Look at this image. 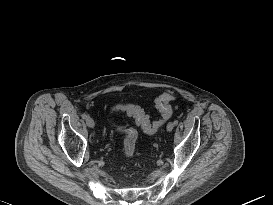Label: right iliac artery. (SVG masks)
<instances>
[{
  "mask_svg": "<svg viewBox=\"0 0 273 205\" xmlns=\"http://www.w3.org/2000/svg\"><path fill=\"white\" fill-rule=\"evenodd\" d=\"M82 118L86 120L88 118V114L87 113H83L82 114Z\"/></svg>",
  "mask_w": 273,
  "mask_h": 205,
  "instance_id": "1",
  "label": "right iliac artery"
}]
</instances>
